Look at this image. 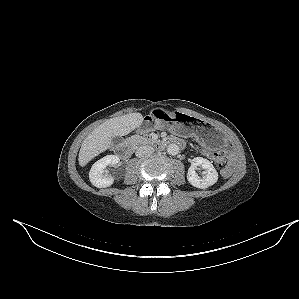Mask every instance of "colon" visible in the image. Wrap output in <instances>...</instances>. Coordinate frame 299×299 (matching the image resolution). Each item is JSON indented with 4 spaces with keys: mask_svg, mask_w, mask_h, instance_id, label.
Returning a JSON list of instances; mask_svg holds the SVG:
<instances>
[{
    "mask_svg": "<svg viewBox=\"0 0 299 299\" xmlns=\"http://www.w3.org/2000/svg\"><path fill=\"white\" fill-rule=\"evenodd\" d=\"M203 153L214 161L217 167L221 169L224 176H229L232 173V168L227 163L225 155L221 150L203 149Z\"/></svg>",
    "mask_w": 299,
    "mask_h": 299,
    "instance_id": "5ec220e1",
    "label": "colon"
}]
</instances>
